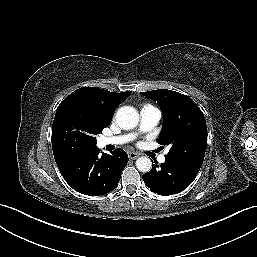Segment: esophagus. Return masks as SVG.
I'll list each match as a JSON object with an SVG mask.
<instances>
[{
  "instance_id": "obj_1",
  "label": "esophagus",
  "mask_w": 257,
  "mask_h": 257,
  "mask_svg": "<svg viewBox=\"0 0 257 257\" xmlns=\"http://www.w3.org/2000/svg\"><path fill=\"white\" fill-rule=\"evenodd\" d=\"M128 156H129L130 159L135 160L140 156V154L136 153V152H129Z\"/></svg>"
}]
</instances>
